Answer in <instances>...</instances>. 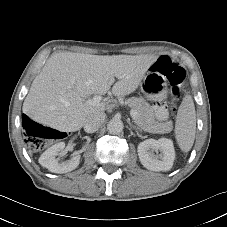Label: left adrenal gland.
<instances>
[{"mask_svg":"<svg viewBox=\"0 0 227 227\" xmlns=\"http://www.w3.org/2000/svg\"><path fill=\"white\" fill-rule=\"evenodd\" d=\"M132 128H133L134 130H136L137 132H138V131H142L139 127L134 126V125H132Z\"/></svg>","mask_w":227,"mask_h":227,"instance_id":"left-adrenal-gland-1","label":"left adrenal gland"}]
</instances>
